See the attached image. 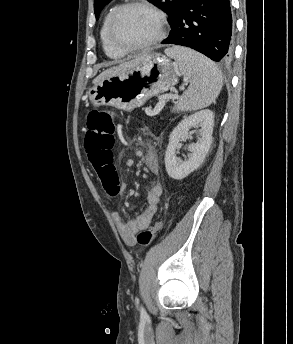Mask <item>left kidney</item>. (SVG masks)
I'll return each mask as SVG.
<instances>
[{"mask_svg":"<svg viewBox=\"0 0 293 344\" xmlns=\"http://www.w3.org/2000/svg\"><path fill=\"white\" fill-rule=\"evenodd\" d=\"M201 127V138L190 145L191 154L187 160L176 156L179 141L188 137L191 127ZM214 114L211 110H202L183 119L172 131L165 153V167L168 175L181 180L196 170L205 160L212 144Z\"/></svg>","mask_w":293,"mask_h":344,"instance_id":"1","label":"left kidney"}]
</instances>
